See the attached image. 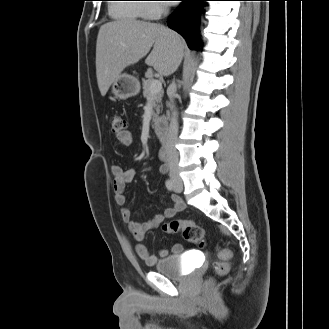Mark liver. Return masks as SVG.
Wrapping results in <instances>:
<instances>
[{
	"instance_id": "1",
	"label": "liver",
	"mask_w": 329,
	"mask_h": 329,
	"mask_svg": "<svg viewBox=\"0 0 329 329\" xmlns=\"http://www.w3.org/2000/svg\"><path fill=\"white\" fill-rule=\"evenodd\" d=\"M184 46L180 35L156 23L123 19L102 25L96 43V76L101 95H106L126 67L148 54L147 65L161 75L172 74L182 61Z\"/></svg>"
}]
</instances>
